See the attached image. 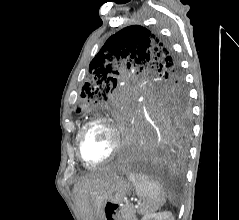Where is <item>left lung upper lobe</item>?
<instances>
[{
    "label": "left lung upper lobe",
    "instance_id": "5c2ea615",
    "mask_svg": "<svg viewBox=\"0 0 239 220\" xmlns=\"http://www.w3.org/2000/svg\"><path fill=\"white\" fill-rule=\"evenodd\" d=\"M127 64L149 75L147 83L123 82ZM76 112L121 118L132 110L185 112L189 105L183 73L171 47L156 32L132 25L115 33L89 65Z\"/></svg>",
    "mask_w": 239,
    "mask_h": 220
}]
</instances>
